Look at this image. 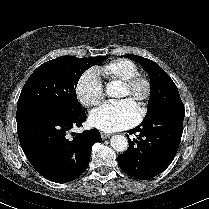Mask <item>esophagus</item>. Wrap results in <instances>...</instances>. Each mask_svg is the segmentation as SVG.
Masks as SVG:
<instances>
[{"label": "esophagus", "mask_w": 209, "mask_h": 209, "mask_svg": "<svg viewBox=\"0 0 209 209\" xmlns=\"http://www.w3.org/2000/svg\"><path fill=\"white\" fill-rule=\"evenodd\" d=\"M101 138H102L103 140H105V139L110 138V135H109V134H105V133H101Z\"/></svg>", "instance_id": "34e87169"}]
</instances>
